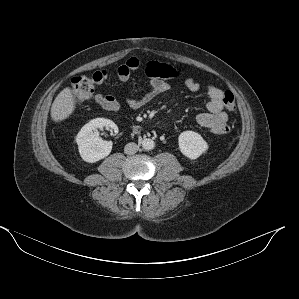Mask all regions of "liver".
Returning <instances> with one entry per match:
<instances>
[{
    "label": "liver",
    "instance_id": "liver-1",
    "mask_svg": "<svg viewBox=\"0 0 299 299\" xmlns=\"http://www.w3.org/2000/svg\"><path fill=\"white\" fill-rule=\"evenodd\" d=\"M76 101L71 88H64L55 98L51 106V119L61 122L67 119L76 108Z\"/></svg>",
    "mask_w": 299,
    "mask_h": 299
}]
</instances>
